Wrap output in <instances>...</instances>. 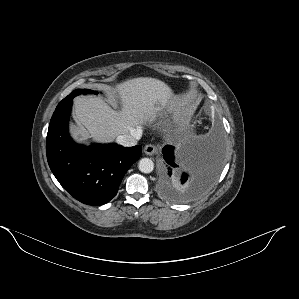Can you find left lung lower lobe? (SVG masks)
I'll return each mask as SVG.
<instances>
[{"instance_id":"obj_1","label":"left lung lower lobe","mask_w":299,"mask_h":299,"mask_svg":"<svg viewBox=\"0 0 299 299\" xmlns=\"http://www.w3.org/2000/svg\"><path fill=\"white\" fill-rule=\"evenodd\" d=\"M158 190L172 202H183L197 197L216 180L223 160L220 138L195 143L181 151L166 145Z\"/></svg>"}]
</instances>
